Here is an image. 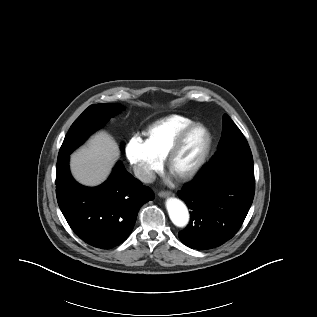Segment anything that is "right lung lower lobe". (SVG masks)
<instances>
[{"label": "right lung lower lobe", "mask_w": 317, "mask_h": 317, "mask_svg": "<svg viewBox=\"0 0 317 317\" xmlns=\"http://www.w3.org/2000/svg\"><path fill=\"white\" fill-rule=\"evenodd\" d=\"M69 156L57 161L58 205L71 229L86 243L111 249L127 239L140 207L154 198L152 190L119 162L108 180L94 188L77 183L69 171Z\"/></svg>", "instance_id": "obj_1"}]
</instances>
